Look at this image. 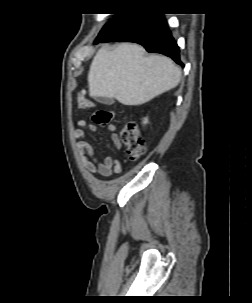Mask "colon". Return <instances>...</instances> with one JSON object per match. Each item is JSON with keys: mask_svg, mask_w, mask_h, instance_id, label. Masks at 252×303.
I'll return each mask as SVG.
<instances>
[{"mask_svg": "<svg viewBox=\"0 0 252 303\" xmlns=\"http://www.w3.org/2000/svg\"><path fill=\"white\" fill-rule=\"evenodd\" d=\"M78 104L81 108L94 106L93 102L87 101L82 97L78 98ZM113 119V112L105 109H98L91 116L92 122L98 125L109 124ZM120 138L132 160L138 159L144 153L143 140L134 122L128 121L125 123L121 130Z\"/></svg>", "mask_w": 252, "mask_h": 303, "instance_id": "1", "label": "colon"}]
</instances>
